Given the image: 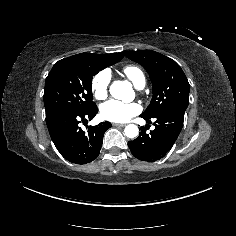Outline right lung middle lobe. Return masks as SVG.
Wrapping results in <instances>:
<instances>
[{"mask_svg": "<svg viewBox=\"0 0 236 236\" xmlns=\"http://www.w3.org/2000/svg\"><path fill=\"white\" fill-rule=\"evenodd\" d=\"M120 60L106 55L85 54L56 62L45 82L46 115L57 111L84 112L96 106L92 101L93 76Z\"/></svg>", "mask_w": 236, "mask_h": 236, "instance_id": "dd1d6c3e", "label": "right lung middle lobe"}]
</instances>
